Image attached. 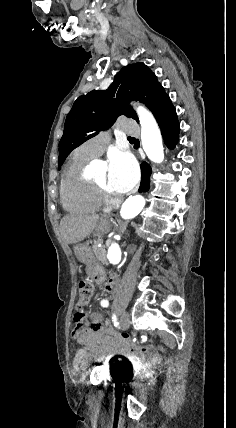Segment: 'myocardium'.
Wrapping results in <instances>:
<instances>
[{"label": "myocardium", "mask_w": 236, "mask_h": 428, "mask_svg": "<svg viewBox=\"0 0 236 428\" xmlns=\"http://www.w3.org/2000/svg\"><path fill=\"white\" fill-rule=\"evenodd\" d=\"M92 180L102 203L111 204L122 200V196L112 194L104 184L95 179Z\"/></svg>", "instance_id": "f54148a6"}]
</instances>
